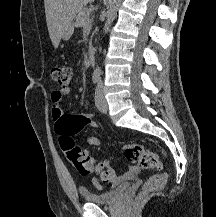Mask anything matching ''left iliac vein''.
I'll list each match as a JSON object with an SVG mask.
<instances>
[{
  "instance_id": "4c4485c4",
  "label": "left iliac vein",
  "mask_w": 216,
  "mask_h": 217,
  "mask_svg": "<svg viewBox=\"0 0 216 217\" xmlns=\"http://www.w3.org/2000/svg\"><path fill=\"white\" fill-rule=\"evenodd\" d=\"M95 103L100 112L102 113L107 112L108 104L104 96L103 87L101 83L98 84L96 91H95Z\"/></svg>"
}]
</instances>
